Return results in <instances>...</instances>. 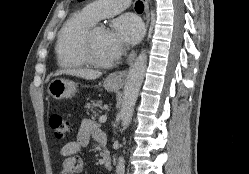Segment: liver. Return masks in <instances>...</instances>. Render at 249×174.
Instances as JSON below:
<instances>
[{
	"instance_id": "1",
	"label": "liver",
	"mask_w": 249,
	"mask_h": 174,
	"mask_svg": "<svg viewBox=\"0 0 249 174\" xmlns=\"http://www.w3.org/2000/svg\"><path fill=\"white\" fill-rule=\"evenodd\" d=\"M62 74L76 76L87 80H95L102 75L100 71H95L91 69H63L57 71L55 73V76Z\"/></svg>"
}]
</instances>
